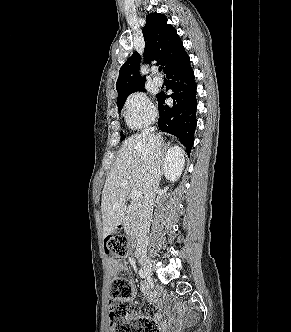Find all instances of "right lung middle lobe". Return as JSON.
<instances>
[{"label":"right lung middle lobe","mask_w":291,"mask_h":332,"mask_svg":"<svg viewBox=\"0 0 291 332\" xmlns=\"http://www.w3.org/2000/svg\"><path fill=\"white\" fill-rule=\"evenodd\" d=\"M136 91H144V89L142 87V88H139V89H137L133 92H136ZM133 92H131V93H133ZM131 93H129L128 95H130ZM128 95H126L124 98L117 101L118 111H120L122 109ZM123 140H124V135H123V132H121V141H123Z\"/></svg>","instance_id":"1"}]
</instances>
